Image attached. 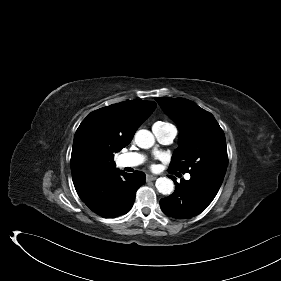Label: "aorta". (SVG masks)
<instances>
[{
  "instance_id": "1",
  "label": "aorta",
  "mask_w": 281,
  "mask_h": 281,
  "mask_svg": "<svg viewBox=\"0 0 281 281\" xmlns=\"http://www.w3.org/2000/svg\"><path fill=\"white\" fill-rule=\"evenodd\" d=\"M135 142L138 147L148 149L154 145L155 138L150 131L142 129L137 131V133L135 134ZM156 188L161 194L169 195L174 190V183L169 178L161 177L156 181Z\"/></svg>"
}]
</instances>
